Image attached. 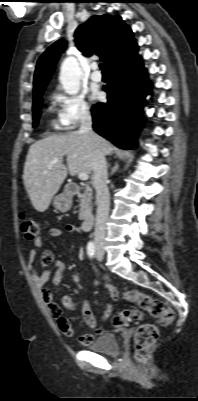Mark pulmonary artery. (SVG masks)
<instances>
[{
	"label": "pulmonary artery",
	"mask_w": 198,
	"mask_h": 401,
	"mask_svg": "<svg viewBox=\"0 0 198 401\" xmlns=\"http://www.w3.org/2000/svg\"><path fill=\"white\" fill-rule=\"evenodd\" d=\"M91 70H92V73H91V80H92L93 82H96V83L101 82V81H102V74H101V72L99 71V66H98V64H97V63H93V64L91 65Z\"/></svg>",
	"instance_id": "obj_1"
}]
</instances>
